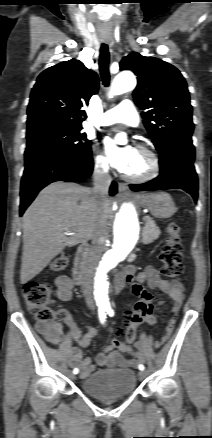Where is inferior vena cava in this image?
Segmentation results:
<instances>
[{
  "mask_svg": "<svg viewBox=\"0 0 212 438\" xmlns=\"http://www.w3.org/2000/svg\"><path fill=\"white\" fill-rule=\"evenodd\" d=\"M94 187L92 189L94 199L100 205L108 197V190L111 184V177L108 173V169L102 165L96 164L93 172ZM107 230L104 229V224L101 221L99 227L92 235V247L89 252L86 261V280L84 284V292L86 296V302L90 308H93V296H92V279L95 274L98 262L105 250V239Z\"/></svg>",
  "mask_w": 212,
  "mask_h": 438,
  "instance_id": "inferior-vena-cava-1",
  "label": "inferior vena cava"
}]
</instances>
